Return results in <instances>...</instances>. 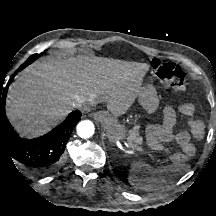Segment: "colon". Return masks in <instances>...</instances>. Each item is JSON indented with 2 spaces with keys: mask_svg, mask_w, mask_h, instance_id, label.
Segmentation results:
<instances>
[{
  "mask_svg": "<svg viewBox=\"0 0 216 216\" xmlns=\"http://www.w3.org/2000/svg\"><path fill=\"white\" fill-rule=\"evenodd\" d=\"M152 72L167 83L175 92L184 94L187 89V73L182 66L154 59L151 62Z\"/></svg>",
  "mask_w": 216,
  "mask_h": 216,
  "instance_id": "obj_1",
  "label": "colon"
}]
</instances>
